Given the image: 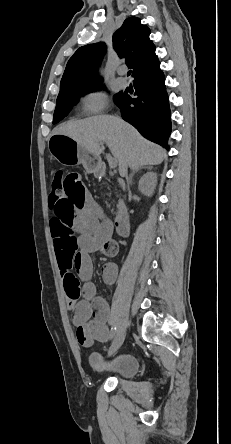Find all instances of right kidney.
<instances>
[{
	"label": "right kidney",
	"mask_w": 231,
	"mask_h": 444,
	"mask_svg": "<svg viewBox=\"0 0 231 444\" xmlns=\"http://www.w3.org/2000/svg\"><path fill=\"white\" fill-rule=\"evenodd\" d=\"M157 181V174L149 172L141 177L139 181V190L146 196H151Z\"/></svg>",
	"instance_id": "right-kidney-1"
}]
</instances>
